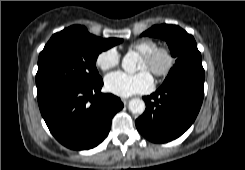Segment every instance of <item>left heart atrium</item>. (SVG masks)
Returning <instances> with one entry per match:
<instances>
[{"mask_svg":"<svg viewBox=\"0 0 245 170\" xmlns=\"http://www.w3.org/2000/svg\"><path fill=\"white\" fill-rule=\"evenodd\" d=\"M154 81L146 69L130 74L116 71L105 77L106 89L117 96L129 97L138 93H146L153 89Z\"/></svg>","mask_w":245,"mask_h":170,"instance_id":"left-heart-atrium-1","label":"left heart atrium"}]
</instances>
